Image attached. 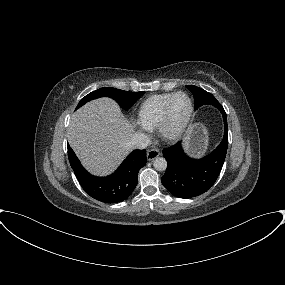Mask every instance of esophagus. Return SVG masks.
<instances>
[{
    "label": "esophagus",
    "mask_w": 285,
    "mask_h": 285,
    "mask_svg": "<svg viewBox=\"0 0 285 285\" xmlns=\"http://www.w3.org/2000/svg\"><path fill=\"white\" fill-rule=\"evenodd\" d=\"M159 155H160L159 150L156 148H152V149L147 151V160L152 161V160L156 159Z\"/></svg>",
    "instance_id": "esophagus-1"
}]
</instances>
